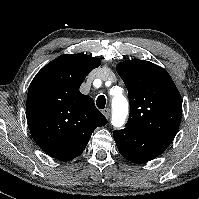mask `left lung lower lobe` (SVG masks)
<instances>
[{
    "mask_svg": "<svg viewBox=\"0 0 199 199\" xmlns=\"http://www.w3.org/2000/svg\"><path fill=\"white\" fill-rule=\"evenodd\" d=\"M120 154L129 161L144 163L158 157L169 142L131 128L113 132Z\"/></svg>",
    "mask_w": 199,
    "mask_h": 199,
    "instance_id": "obj_1",
    "label": "left lung lower lobe"
}]
</instances>
